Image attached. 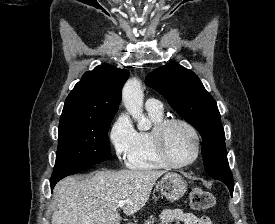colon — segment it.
<instances>
[{"instance_id": "1", "label": "colon", "mask_w": 275, "mask_h": 224, "mask_svg": "<svg viewBox=\"0 0 275 224\" xmlns=\"http://www.w3.org/2000/svg\"><path fill=\"white\" fill-rule=\"evenodd\" d=\"M189 198L191 207L199 211L208 210L215 204L214 195L197 185L191 187Z\"/></svg>"}]
</instances>
